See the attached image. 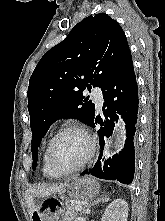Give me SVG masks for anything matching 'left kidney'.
Returning a JSON list of instances; mask_svg holds the SVG:
<instances>
[{
    "instance_id": "1",
    "label": "left kidney",
    "mask_w": 165,
    "mask_h": 221,
    "mask_svg": "<svg viewBox=\"0 0 165 221\" xmlns=\"http://www.w3.org/2000/svg\"><path fill=\"white\" fill-rule=\"evenodd\" d=\"M128 205L125 200H114L104 212L102 221H127Z\"/></svg>"
}]
</instances>
